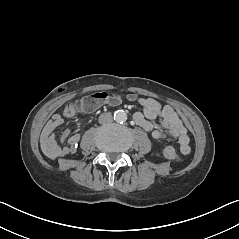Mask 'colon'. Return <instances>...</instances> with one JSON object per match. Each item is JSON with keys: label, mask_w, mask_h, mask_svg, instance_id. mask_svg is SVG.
<instances>
[{"label": "colon", "mask_w": 239, "mask_h": 239, "mask_svg": "<svg viewBox=\"0 0 239 239\" xmlns=\"http://www.w3.org/2000/svg\"><path fill=\"white\" fill-rule=\"evenodd\" d=\"M121 101V98L116 94L107 92H96L84 97L80 102H74L65 108V111L70 116H75L80 109H92L103 104L116 105ZM165 156L170 160H179V155L173 147H167L164 150Z\"/></svg>", "instance_id": "1"}]
</instances>
